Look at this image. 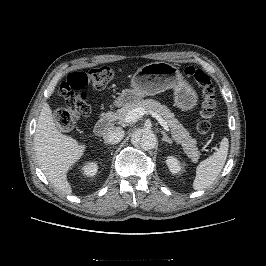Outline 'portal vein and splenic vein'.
Instances as JSON below:
<instances>
[{
    "label": "portal vein and splenic vein",
    "instance_id": "18ae733b",
    "mask_svg": "<svg viewBox=\"0 0 266 266\" xmlns=\"http://www.w3.org/2000/svg\"><path fill=\"white\" fill-rule=\"evenodd\" d=\"M146 111L142 107H137L133 110H131L125 117V122L126 123H131V122H136L139 118H141ZM153 117H155L160 125L164 128V130L169 131V127L167 122L158 114L151 112Z\"/></svg>",
    "mask_w": 266,
    "mask_h": 266
}]
</instances>
